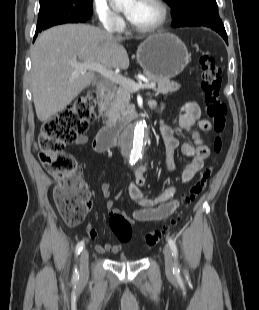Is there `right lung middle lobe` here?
Listing matches in <instances>:
<instances>
[{
    "label": "right lung middle lobe",
    "instance_id": "obj_1",
    "mask_svg": "<svg viewBox=\"0 0 259 310\" xmlns=\"http://www.w3.org/2000/svg\"><path fill=\"white\" fill-rule=\"evenodd\" d=\"M93 0H40L36 31L55 22H85L93 13Z\"/></svg>",
    "mask_w": 259,
    "mask_h": 310
}]
</instances>
